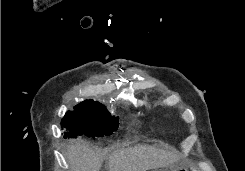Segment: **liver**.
Returning <instances> with one entry per match:
<instances>
[{"mask_svg":"<svg viewBox=\"0 0 245 171\" xmlns=\"http://www.w3.org/2000/svg\"><path fill=\"white\" fill-rule=\"evenodd\" d=\"M66 157L70 171H99L103 155L91 149L82 140L70 142ZM178 160L172 152L151 146H135L116 150L109 156V171H147L167 167Z\"/></svg>","mask_w":245,"mask_h":171,"instance_id":"1","label":"liver"}]
</instances>
